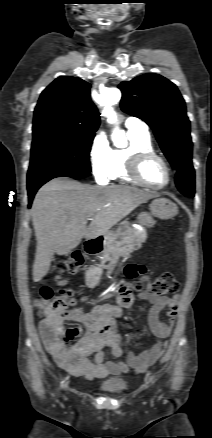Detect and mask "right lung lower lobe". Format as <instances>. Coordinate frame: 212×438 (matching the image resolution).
Masks as SVG:
<instances>
[{
    "label": "right lung lower lobe",
    "mask_w": 212,
    "mask_h": 438,
    "mask_svg": "<svg viewBox=\"0 0 212 438\" xmlns=\"http://www.w3.org/2000/svg\"><path fill=\"white\" fill-rule=\"evenodd\" d=\"M90 175L87 171H69V170H43L28 173L27 189L29 198V207L37 190L47 181L56 177L82 178Z\"/></svg>",
    "instance_id": "98d812e1"
}]
</instances>
